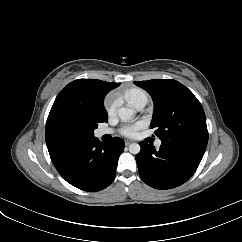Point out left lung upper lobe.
Segmentation results:
<instances>
[{"instance_id": "5c2ea615", "label": "left lung upper lobe", "mask_w": 242, "mask_h": 242, "mask_svg": "<svg viewBox=\"0 0 242 242\" xmlns=\"http://www.w3.org/2000/svg\"><path fill=\"white\" fill-rule=\"evenodd\" d=\"M154 102L150 124L164 143L207 146L208 130L204 110L194 94L173 79L134 81Z\"/></svg>"}]
</instances>
